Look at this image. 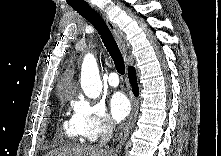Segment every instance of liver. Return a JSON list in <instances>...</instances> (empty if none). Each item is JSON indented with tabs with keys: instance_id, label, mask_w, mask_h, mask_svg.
Segmentation results:
<instances>
[{
	"instance_id": "obj_1",
	"label": "liver",
	"mask_w": 221,
	"mask_h": 156,
	"mask_svg": "<svg viewBox=\"0 0 221 156\" xmlns=\"http://www.w3.org/2000/svg\"><path fill=\"white\" fill-rule=\"evenodd\" d=\"M111 151L103 150L99 146H71L54 149L46 156H112Z\"/></svg>"
}]
</instances>
